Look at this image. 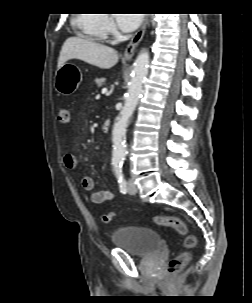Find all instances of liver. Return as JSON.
Listing matches in <instances>:
<instances>
[{
	"mask_svg": "<svg viewBox=\"0 0 252 303\" xmlns=\"http://www.w3.org/2000/svg\"><path fill=\"white\" fill-rule=\"evenodd\" d=\"M70 59H79L102 69H109L118 62V53L111 47L80 37L68 38L60 51L57 67Z\"/></svg>",
	"mask_w": 252,
	"mask_h": 303,
	"instance_id": "1",
	"label": "liver"
}]
</instances>
